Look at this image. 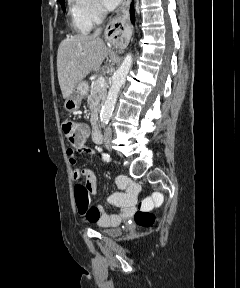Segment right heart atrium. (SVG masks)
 <instances>
[{
    "instance_id": "obj_1",
    "label": "right heart atrium",
    "mask_w": 240,
    "mask_h": 288,
    "mask_svg": "<svg viewBox=\"0 0 240 288\" xmlns=\"http://www.w3.org/2000/svg\"><path fill=\"white\" fill-rule=\"evenodd\" d=\"M80 18L89 26L100 23L106 16L100 0H75Z\"/></svg>"
}]
</instances>
